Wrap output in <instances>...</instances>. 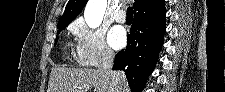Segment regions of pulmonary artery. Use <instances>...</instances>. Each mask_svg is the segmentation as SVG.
<instances>
[{
    "label": "pulmonary artery",
    "instance_id": "obj_1",
    "mask_svg": "<svg viewBox=\"0 0 225 92\" xmlns=\"http://www.w3.org/2000/svg\"><path fill=\"white\" fill-rule=\"evenodd\" d=\"M115 20L118 23H124L126 20V15L124 11H119L116 15H115Z\"/></svg>",
    "mask_w": 225,
    "mask_h": 92
}]
</instances>
